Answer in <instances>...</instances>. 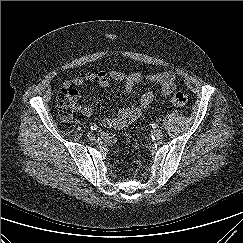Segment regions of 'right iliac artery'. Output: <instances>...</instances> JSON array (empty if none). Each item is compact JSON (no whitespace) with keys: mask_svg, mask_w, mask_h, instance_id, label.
<instances>
[{"mask_svg":"<svg viewBox=\"0 0 243 243\" xmlns=\"http://www.w3.org/2000/svg\"><path fill=\"white\" fill-rule=\"evenodd\" d=\"M98 129V126L97 125H92L91 126V130H97Z\"/></svg>","mask_w":243,"mask_h":243,"instance_id":"right-iliac-artery-1","label":"right iliac artery"}]
</instances>
